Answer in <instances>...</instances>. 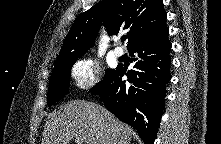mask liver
Wrapping results in <instances>:
<instances>
[{"mask_svg": "<svg viewBox=\"0 0 221 144\" xmlns=\"http://www.w3.org/2000/svg\"><path fill=\"white\" fill-rule=\"evenodd\" d=\"M133 130L101 105L72 100L45 124L43 144H68L78 138L86 144H130Z\"/></svg>", "mask_w": 221, "mask_h": 144, "instance_id": "liver-1", "label": "liver"}]
</instances>
